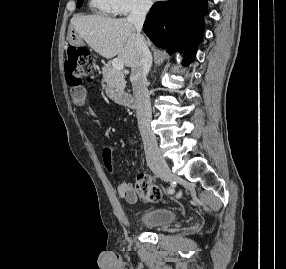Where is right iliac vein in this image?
<instances>
[{
    "instance_id": "63e3f726",
    "label": "right iliac vein",
    "mask_w": 286,
    "mask_h": 269,
    "mask_svg": "<svg viewBox=\"0 0 286 269\" xmlns=\"http://www.w3.org/2000/svg\"><path fill=\"white\" fill-rule=\"evenodd\" d=\"M154 173L162 178L164 181H171L174 176L169 168V166L163 162L159 166L153 168Z\"/></svg>"
}]
</instances>
